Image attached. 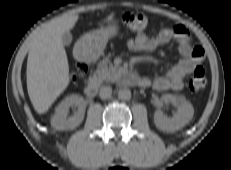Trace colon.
I'll use <instances>...</instances> for the list:
<instances>
[{"instance_id":"colon-1","label":"colon","mask_w":231,"mask_h":170,"mask_svg":"<svg viewBox=\"0 0 231 170\" xmlns=\"http://www.w3.org/2000/svg\"><path fill=\"white\" fill-rule=\"evenodd\" d=\"M123 24L132 32L140 33L146 30L150 24V18L143 13L127 12L122 17ZM86 66L78 63L74 70V78H80L84 75ZM189 89L192 92L203 90L207 86V78L202 67H196L192 77L189 80Z\"/></svg>"}]
</instances>
